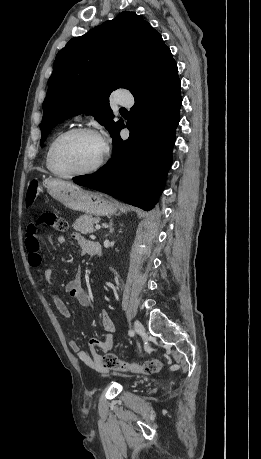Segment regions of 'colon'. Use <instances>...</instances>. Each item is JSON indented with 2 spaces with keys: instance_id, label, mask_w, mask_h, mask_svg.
Segmentation results:
<instances>
[{
  "instance_id": "5ec220e1",
  "label": "colon",
  "mask_w": 261,
  "mask_h": 459,
  "mask_svg": "<svg viewBox=\"0 0 261 459\" xmlns=\"http://www.w3.org/2000/svg\"><path fill=\"white\" fill-rule=\"evenodd\" d=\"M41 193L42 189L40 183L37 180L31 181L26 193V206L28 208L32 207ZM26 224L28 225L25 232L27 238H34L39 232L40 225L50 226L59 231H67L69 228L68 222L65 219L56 217L54 214L49 212L41 214L37 219L29 218L26 221ZM102 363L107 369L144 375L158 373L163 368V363L158 359H151L142 364L129 363L120 360L113 353H106L103 357Z\"/></svg>"
}]
</instances>
